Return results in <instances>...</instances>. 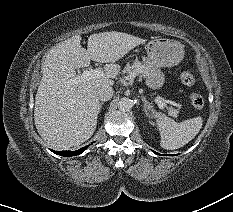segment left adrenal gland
<instances>
[{
    "mask_svg": "<svg viewBox=\"0 0 233 212\" xmlns=\"http://www.w3.org/2000/svg\"><path fill=\"white\" fill-rule=\"evenodd\" d=\"M142 101L144 103V106L146 108V114H148V110H150V108L152 107L151 104L147 101V99L142 96Z\"/></svg>",
    "mask_w": 233,
    "mask_h": 212,
    "instance_id": "left-adrenal-gland-1",
    "label": "left adrenal gland"
}]
</instances>
